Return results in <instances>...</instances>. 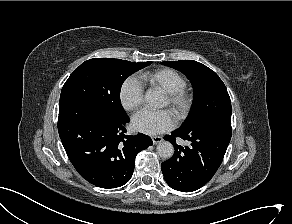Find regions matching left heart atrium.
Instances as JSON below:
<instances>
[{
	"mask_svg": "<svg viewBox=\"0 0 292 224\" xmlns=\"http://www.w3.org/2000/svg\"><path fill=\"white\" fill-rule=\"evenodd\" d=\"M134 130L155 135L170 131L175 126V118L169 111L152 112L142 110L136 113L132 118Z\"/></svg>",
	"mask_w": 292,
	"mask_h": 224,
	"instance_id": "1",
	"label": "left heart atrium"
}]
</instances>
